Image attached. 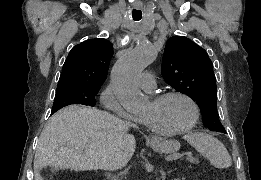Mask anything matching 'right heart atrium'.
Segmentation results:
<instances>
[{"label": "right heart atrium", "instance_id": "obj_1", "mask_svg": "<svg viewBox=\"0 0 261 180\" xmlns=\"http://www.w3.org/2000/svg\"><path fill=\"white\" fill-rule=\"evenodd\" d=\"M101 104L103 108H111V112H117L118 117H125V120H129V125L126 127H133V122L130 115L119 104L116 95H114L112 84H109L101 94Z\"/></svg>", "mask_w": 261, "mask_h": 180}]
</instances>
